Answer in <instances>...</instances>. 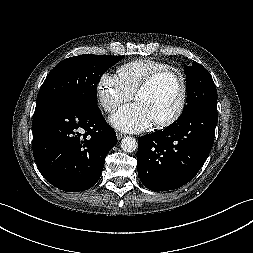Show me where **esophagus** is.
<instances>
[{
	"label": "esophagus",
	"instance_id": "1",
	"mask_svg": "<svg viewBox=\"0 0 253 253\" xmlns=\"http://www.w3.org/2000/svg\"><path fill=\"white\" fill-rule=\"evenodd\" d=\"M116 136H117L118 140H120V139H122L124 137V135L122 133H120V132H117Z\"/></svg>",
	"mask_w": 253,
	"mask_h": 253
}]
</instances>
